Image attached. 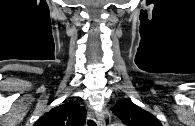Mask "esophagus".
Returning a JSON list of instances; mask_svg holds the SVG:
<instances>
[{"mask_svg":"<svg viewBox=\"0 0 195 126\" xmlns=\"http://www.w3.org/2000/svg\"><path fill=\"white\" fill-rule=\"evenodd\" d=\"M97 116L99 117L100 121L99 123L102 125V126H110V123H111V117H110V114L109 112L104 109L100 112L97 113Z\"/></svg>","mask_w":195,"mask_h":126,"instance_id":"obj_1","label":"esophagus"}]
</instances>
